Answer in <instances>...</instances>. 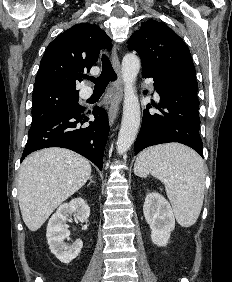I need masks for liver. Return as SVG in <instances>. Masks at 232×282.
I'll return each instance as SVG.
<instances>
[{"mask_svg": "<svg viewBox=\"0 0 232 282\" xmlns=\"http://www.w3.org/2000/svg\"><path fill=\"white\" fill-rule=\"evenodd\" d=\"M90 175L89 161L68 149L46 148L27 156L19 172L18 200L28 229L38 230Z\"/></svg>", "mask_w": 232, "mask_h": 282, "instance_id": "6515ba94", "label": "liver"}]
</instances>
